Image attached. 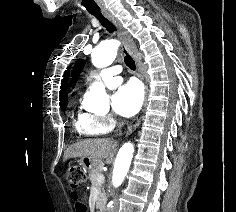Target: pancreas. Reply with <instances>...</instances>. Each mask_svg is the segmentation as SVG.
I'll use <instances>...</instances> for the list:
<instances>
[{
  "label": "pancreas",
  "mask_w": 236,
  "mask_h": 212,
  "mask_svg": "<svg viewBox=\"0 0 236 212\" xmlns=\"http://www.w3.org/2000/svg\"><path fill=\"white\" fill-rule=\"evenodd\" d=\"M101 175V169L100 167L95 168L92 170L89 174V179L93 185H97L99 189V200L96 204V207L98 209H103L106 203V193L104 188L102 187L103 181L102 182H97L98 176Z\"/></svg>",
  "instance_id": "1"
}]
</instances>
